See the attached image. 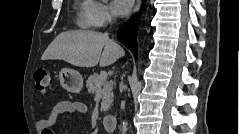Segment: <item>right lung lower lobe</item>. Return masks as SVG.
Here are the masks:
<instances>
[{
    "mask_svg": "<svg viewBox=\"0 0 239 134\" xmlns=\"http://www.w3.org/2000/svg\"><path fill=\"white\" fill-rule=\"evenodd\" d=\"M140 17L130 19L127 23L123 24L117 33L118 40L124 44L137 59V31L139 26Z\"/></svg>",
    "mask_w": 239,
    "mask_h": 134,
    "instance_id": "1",
    "label": "right lung lower lobe"
}]
</instances>
